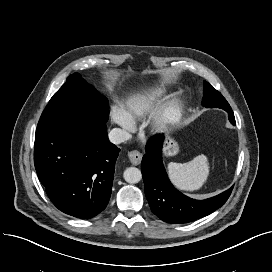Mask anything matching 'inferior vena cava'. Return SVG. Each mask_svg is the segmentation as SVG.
Listing matches in <instances>:
<instances>
[{
  "instance_id": "1",
  "label": "inferior vena cava",
  "mask_w": 272,
  "mask_h": 272,
  "mask_svg": "<svg viewBox=\"0 0 272 272\" xmlns=\"http://www.w3.org/2000/svg\"><path fill=\"white\" fill-rule=\"evenodd\" d=\"M109 140L113 144H121L129 139V133L120 128L112 129L109 134Z\"/></svg>"
}]
</instances>
